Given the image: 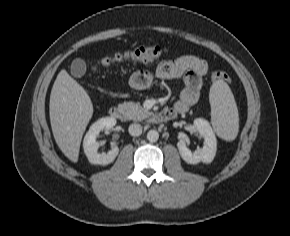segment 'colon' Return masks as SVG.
<instances>
[{
	"instance_id": "1",
	"label": "colon",
	"mask_w": 290,
	"mask_h": 236,
	"mask_svg": "<svg viewBox=\"0 0 290 236\" xmlns=\"http://www.w3.org/2000/svg\"><path fill=\"white\" fill-rule=\"evenodd\" d=\"M165 52L166 50L159 45H143L130 51L105 57L102 59L101 65L111 67L127 62H149L160 58ZM212 79L214 81H229L228 75L220 70L213 72Z\"/></svg>"
}]
</instances>
